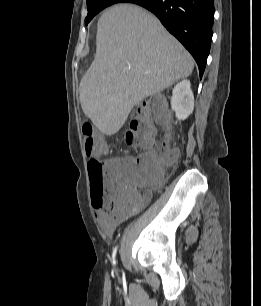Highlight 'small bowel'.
I'll return each instance as SVG.
<instances>
[{
  "label": "small bowel",
  "mask_w": 261,
  "mask_h": 306,
  "mask_svg": "<svg viewBox=\"0 0 261 306\" xmlns=\"http://www.w3.org/2000/svg\"><path fill=\"white\" fill-rule=\"evenodd\" d=\"M131 157H126L123 159H130ZM120 160L118 158L109 159L107 162L110 164L114 161ZM151 192H146L143 196H137L132 204L126 205L125 203L117 211L107 212L104 210H99L95 212V218L98 221L102 231L106 235H112L118 225L123 222L131 213L138 210L149 200Z\"/></svg>",
  "instance_id": "c3829d8e"
}]
</instances>
